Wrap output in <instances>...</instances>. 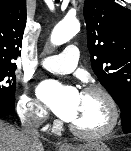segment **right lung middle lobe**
Wrapping results in <instances>:
<instances>
[{
    "label": "right lung middle lobe",
    "mask_w": 131,
    "mask_h": 151,
    "mask_svg": "<svg viewBox=\"0 0 131 151\" xmlns=\"http://www.w3.org/2000/svg\"><path fill=\"white\" fill-rule=\"evenodd\" d=\"M16 67H0V103L14 105L16 89Z\"/></svg>",
    "instance_id": "1"
}]
</instances>
